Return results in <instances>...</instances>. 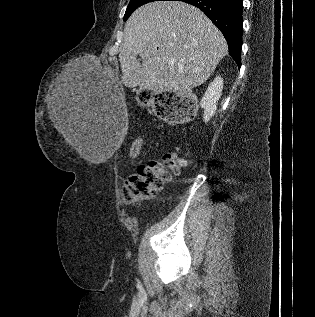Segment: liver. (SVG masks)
I'll return each mask as SVG.
<instances>
[{"label":"liver","instance_id":"liver-1","mask_svg":"<svg viewBox=\"0 0 315 317\" xmlns=\"http://www.w3.org/2000/svg\"><path fill=\"white\" fill-rule=\"evenodd\" d=\"M227 54L222 33L196 7L178 1L149 3L135 10L125 24L119 54L122 83L185 93L202 85ZM49 114L54 127L85 156L83 122L71 88L56 87Z\"/></svg>","mask_w":315,"mask_h":317}]
</instances>
